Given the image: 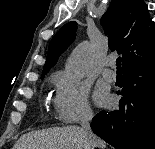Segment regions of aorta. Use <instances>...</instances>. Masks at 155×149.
I'll return each instance as SVG.
<instances>
[{"instance_id":"aorta-1","label":"aorta","mask_w":155,"mask_h":149,"mask_svg":"<svg viewBox=\"0 0 155 149\" xmlns=\"http://www.w3.org/2000/svg\"><path fill=\"white\" fill-rule=\"evenodd\" d=\"M92 54V47L88 42L80 43L73 50L65 65V72L71 80H81L86 76Z\"/></svg>"}]
</instances>
